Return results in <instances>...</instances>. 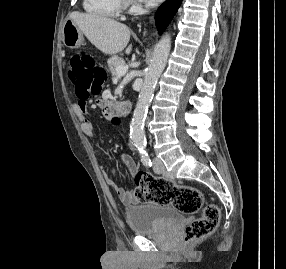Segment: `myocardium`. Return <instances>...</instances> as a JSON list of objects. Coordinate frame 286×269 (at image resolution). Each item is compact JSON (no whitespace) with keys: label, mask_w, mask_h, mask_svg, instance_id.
Returning <instances> with one entry per match:
<instances>
[{"label":"myocardium","mask_w":286,"mask_h":269,"mask_svg":"<svg viewBox=\"0 0 286 269\" xmlns=\"http://www.w3.org/2000/svg\"><path fill=\"white\" fill-rule=\"evenodd\" d=\"M118 1H119L121 8L126 9L132 4L133 0H118Z\"/></svg>","instance_id":"f54148a6"}]
</instances>
